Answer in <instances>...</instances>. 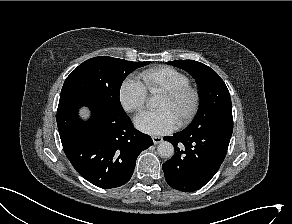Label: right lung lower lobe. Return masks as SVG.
Instances as JSON below:
<instances>
[{
  "label": "right lung lower lobe",
  "mask_w": 292,
  "mask_h": 224,
  "mask_svg": "<svg viewBox=\"0 0 292 224\" xmlns=\"http://www.w3.org/2000/svg\"><path fill=\"white\" fill-rule=\"evenodd\" d=\"M82 106L91 109L88 121L78 116ZM57 126L64 152L75 170L104 189L126 184L138 155L153 145L149 135L133 128L124 110H113L78 95L60 97Z\"/></svg>",
  "instance_id": "right-lung-lower-lobe-1"
}]
</instances>
